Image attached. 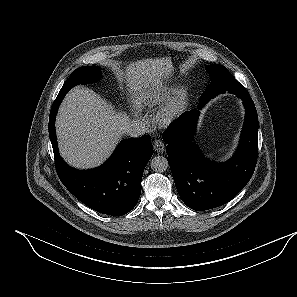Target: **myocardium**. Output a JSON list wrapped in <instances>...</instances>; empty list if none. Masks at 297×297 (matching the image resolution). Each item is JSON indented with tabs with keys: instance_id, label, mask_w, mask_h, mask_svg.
<instances>
[{
	"instance_id": "1",
	"label": "myocardium",
	"mask_w": 297,
	"mask_h": 297,
	"mask_svg": "<svg viewBox=\"0 0 297 297\" xmlns=\"http://www.w3.org/2000/svg\"><path fill=\"white\" fill-rule=\"evenodd\" d=\"M185 103V92L180 90L177 95L160 112L159 119L163 124L173 122L181 113Z\"/></svg>"
}]
</instances>
